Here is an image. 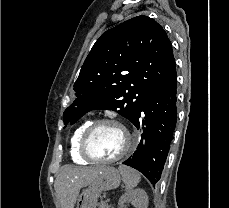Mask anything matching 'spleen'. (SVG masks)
Masks as SVG:
<instances>
[{"instance_id": "obj_1", "label": "spleen", "mask_w": 229, "mask_h": 208, "mask_svg": "<svg viewBox=\"0 0 229 208\" xmlns=\"http://www.w3.org/2000/svg\"><path fill=\"white\" fill-rule=\"evenodd\" d=\"M118 170L128 192H130L132 188H135V186H138L140 182L139 172H136L133 168H129V166H119Z\"/></svg>"}]
</instances>
